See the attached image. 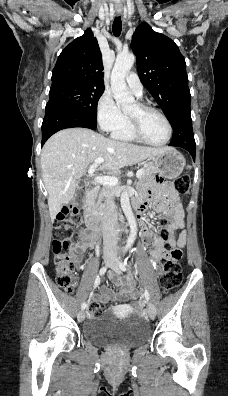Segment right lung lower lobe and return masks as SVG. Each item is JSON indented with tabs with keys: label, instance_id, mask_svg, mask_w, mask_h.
Returning <instances> with one entry per match:
<instances>
[{
	"label": "right lung lower lobe",
	"instance_id": "right-lung-lower-lobe-1",
	"mask_svg": "<svg viewBox=\"0 0 228 396\" xmlns=\"http://www.w3.org/2000/svg\"><path fill=\"white\" fill-rule=\"evenodd\" d=\"M73 127L96 129L97 121L59 105L46 106L42 123V146L46 140L59 130Z\"/></svg>",
	"mask_w": 228,
	"mask_h": 396
}]
</instances>
